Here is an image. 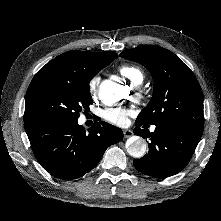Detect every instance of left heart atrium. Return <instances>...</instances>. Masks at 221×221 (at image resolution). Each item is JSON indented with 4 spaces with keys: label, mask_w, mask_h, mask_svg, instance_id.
<instances>
[{
    "label": "left heart atrium",
    "mask_w": 221,
    "mask_h": 221,
    "mask_svg": "<svg viewBox=\"0 0 221 221\" xmlns=\"http://www.w3.org/2000/svg\"><path fill=\"white\" fill-rule=\"evenodd\" d=\"M131 111L122 107H108L101 111V117L112 124L124 126L128 122Z\"/></svg>",
    "instance_id": "1"
}]
</instances>
